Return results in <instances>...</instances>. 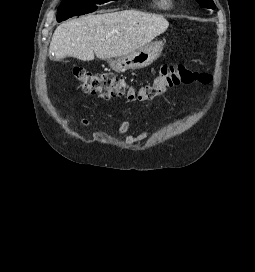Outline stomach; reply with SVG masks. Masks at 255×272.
<instances>
[{
  "mask_svg": "<svg viewBox=\"0 0 255 272\" xmlns=\"http://www.w3.org/2000/svg\"><path fill=\"white\" fill-rule=\"evenodd\" d=\"M164 43L161 41L146 44L109 63L112 70L118 73L131 69H141L149 66L162 53Z\"/></svg>",
  "mask_w": 255,
  "mask_h": 272,
  "instance_id": "obj_1",
  "label": "stomach"
}]
</instances>
